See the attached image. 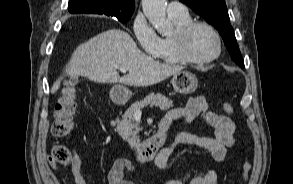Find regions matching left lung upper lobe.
I'll list each match as a JSON object with an SVG mask.
<instances>
[{
	"label": "left lung upper lobe",
	"instance_id": "obj_1",
	"mask_svg": "<svg viewBox=\"0 0 293 184\" xmlns=\"http://www.w3.org/2000/svg\"><path fill=\"white\" fill-rule=\"evenodd\" d=\"M188 5L195 13L213 25L223 38L231 58L239 66H244L234 30L230 24L225 0H179Z\"/></svg>",
	"mask_w": 293,
	"mask_h": 184
}]
</instances>
